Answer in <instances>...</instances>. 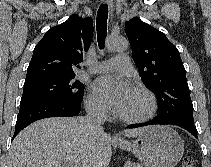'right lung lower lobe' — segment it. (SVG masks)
<instances>
[{
  "label": "right lung lower lobe",
  "instance_id": "right-lung-lower-lobe-1",
  "mask_svg": "<svg viewBox=\"0 0 211 167\" xmlns=\"http://www.w3.org/2000/svg\"><path fill=\"white\" fill-rule=\"evenodd\" d=\"M82 99L78 102H39L20 106L12 140L23 128L34 121L49 117L78 115L81 110Z\"/></svg>",
  "mask_w": 211,
  "mask_h": 167
}]
</instances>
